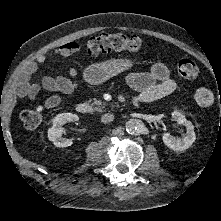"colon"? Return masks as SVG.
Segmentation results:
<instances>
[{"label": "colon", "instance_id": "1", "mask_svg": "<svg viewBox=\"0 0 221 221\" xmlns=\"http://www.w3.org/2000/svg\"><path fill=\"white\" fill-rule=\"evenodd\" d=\"M148 44L137 36L103 33L92 37L86 44V51L90 55H100L110 52L130 51L138 52L146 49ZM179 76L185 80H193L199 75V67L191 59H182L177 65ZM195 101L201 106L213 104L214 94L206 88H198L194 92ZM22 124L29 129L38 127L43 121L41 108L25 110L21 114Z\"/></svg>", "mask_w": 221, "mask_h": 221}]
</instances>
